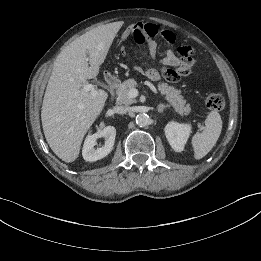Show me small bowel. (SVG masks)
<instances>
[{
  "label": "small bowel",
  "mask_w": 261,
  "mask_h": 261,
  "mask_svg": "<svg viewBox=\"0 0 261 261\" xmlns=\"http://www.w3.org/2000/svg\"><path fill=\"white\" fill-rule=\"evenodd\" d=\"M139 24L140 23L134 25L136 29ZM152 25H154V24H152ZM160 30H161L160 34L155 37L154 36L146 37V36L139 35L137 33V30L131 36L134 38V40L137 43H140V44L145 43L147 45L148 54L152 60L158 61V63L162 66L171 67V68H168L165 70H169L172 72L173 80H171V82H176L181 77L187 76L191 73V70L194 66V59H193L194 50L190 46H180L178 48V52L175 53L171 48H169L166 50L164 57L157 59L158 46H157L155 38L161 37L165 40L166 36L168 34H171V33L175 34L169 30H163V29H160ZM140 37H142V38H140ZM172 46H174V45H172ZM147 75L149 76L150 79H152L154 81H157L159 79V74L155 69H148Z\"/></svg>",
  "instance_id": "1"
}]
</instances>
